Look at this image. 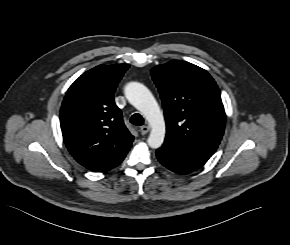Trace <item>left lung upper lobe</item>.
I'll use <instances>...</instances> for the list:
<instances>
[{
	"mask_svg": "<svg viewBox=\"0 0 290 245\" xmlns=\"http://www.w3.org/2000/svg\"><path fill=\"white\" fill-rule=\"evenodd\" d=\"M151 74L164 106V145L208 160L222 139L226 118L214 79L180 60L158 65Z\"/></svg>",
	"mask_w": 290,
	"mask_h": 245,
	"instance_id": "left-lung-upper-lobe-1",
	"label": "left lung upper lobe"
}]
</instances>
